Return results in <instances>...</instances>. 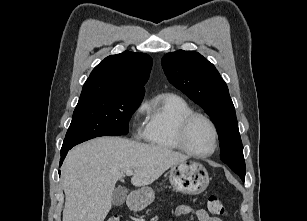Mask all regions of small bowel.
<instances>
[{"instance_id": "c3829d8e", "label": "small bowel", "mask_w": 307, "mask_h": 221, "mask_svg": "<svg viewBox=\"0 0 307 221\" xmlns=\"http://www.w3.org/2000/svg\"><path fill=\"white\" fill-rule=\"evenodd\" d=\"M192 212V209L186 205H178L175 210L174 214L176 216L186 215ZM198 221H222L220 218L211 216L208 212L204 209H199L195 212ZM172 221V220H170Z\"/></svg>"}]
</instances>
